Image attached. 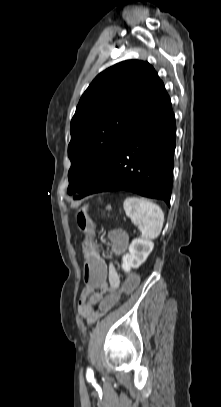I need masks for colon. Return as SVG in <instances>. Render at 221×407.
<instances>
[{
    "mask_svg": "<svg viewBox=\"0 0 221 407\" xmlns=\"http://www.w3.org/2000/svg\"><path fill=\"white\" fill-rule=\"evenodd\" d=\"M77 224L82 232L85 233L83 242V253L85 256L83 283L87 292H100L101 286L108 285L109 268L106 265V259L102 258V253L97 252L94 241V225L88 215L87 208H81L77 213ZM112 249L115 252H121L126 246V235L114 230L109 235ZM140 277L135 271H131L124 285H117L116 289L107 292L99 301L100 311L110 313L112 308H116L124 300L125 295L138 290Z\"/></svg>",
    "mask_w": 221,
    "mask_h": 407,
    "instance_id": "5ec220e1",
    "label": "colon"
}]
</instances>
